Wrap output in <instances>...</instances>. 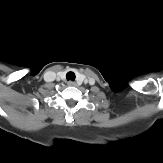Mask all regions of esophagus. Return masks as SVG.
Returning <instances> with one entry per match:
<instances>
[{
  "instance_id": "esophagus-1",
  "label": "esophagus",
  "mask_w": 163,
  "mask_h": 163,
  "mask_svg": "<svg viewBox=\"0 0 163 163\" xmlns=\"http://www.w3.org/2000/svg\"><path fill=\"white\" fill-rule=\"evenodd\" d=\"M67 85H68V86H76V83L73 82V81H68V82H67Z\"/></svg>"
}]
</instances>
